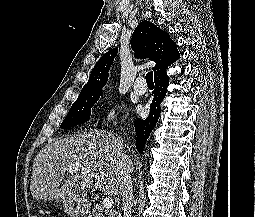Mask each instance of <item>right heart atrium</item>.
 I'll list each match as a JSON object with an SVG mask.
<instances>
[{
    "instance_id": "1",
    "label": "right heart atrium",
    "mask_w": 255,
    "mask_h": 217,
    "mask_svg": "<svg viewBox=\"0 0 255 217\" xmlns=\"http://www.w3.org/2000/svg\"><path fill=\"white\" fill-rule=\"evenodd\" d=\"M120 106L115 102L108 103L101 111V123L105 126H115L118 122Z\"/></svg>"
}]
</instances>
